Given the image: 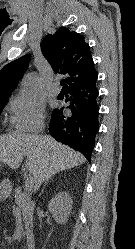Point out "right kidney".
I'll return each mask as SVG.
<instances>
[{"instance_id": "ca27d5eb", "label": "right kidney", "mask_w": 135, "mask_h": 249, "mask_svg": "<svg viewBox=\"0 0 135 249\" xmlns=\"http://www.w3.org/2000/svg\"><path fill=\"white\" fill-rule=\"evenodd\" d=\"M72 209V201L66 192L58 193L48 204V210L59 224L68 221Z\"/></svg>"}]
</instances>
